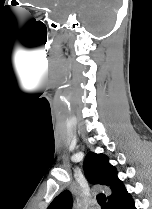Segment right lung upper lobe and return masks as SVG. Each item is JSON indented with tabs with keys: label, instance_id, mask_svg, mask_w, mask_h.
<instances>
[{
	"label": "right lung upper lobe",
	"instance_id": "obj_1",
	"mask_svg": "<svg viewBox=\"0 0 152 209\" xmlns=\"http://www.w3.org/2000/svg\"><path fill=\"white\" fill-rule=\"evenodd\" d=\"M84 171L88 181L92 184H100L111 189L108 203L124 188L122 181L117 177V170L109 163V158L104 154L89 152L84 160ZM72 196L66 190L60 193L47 209H70Z\"/></svg>",
	"mask_w": 152,
	"mask_h": 209
}]
</instances>
